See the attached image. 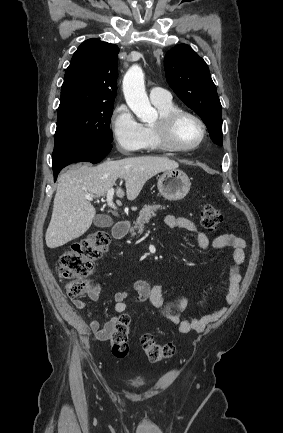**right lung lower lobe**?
I'll return each mask as SVG.
<instances>
[{
	"instance_id": "98d812e1",
	"label": "right lung lower lobe",
	"mask_w": 283,
	"mask_h": 433,
	"mask_svg": "<svg viewBox=\"0 0 283 433\" xmlns=\"http://www.w3.org/2000/svg\"><path fill=\"white\" fill-rule=\"evenodd\" d=\"M112 145L99 146L86 142L63 140L55 142L52 154L54 181L65 166L75 162L98 163L110 152Z\"/></svg>"
}]
</instances>
